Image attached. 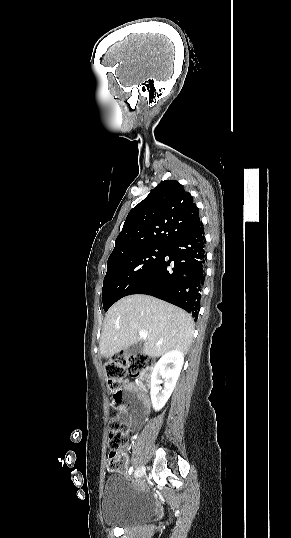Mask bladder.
<instances>
[{
    "label": "bladder",
    "instance_id": "bladder-1",
    "mask_svg": "<svg viewBox=\"0 0 291 538\" xmlns=\"http://www.w3.org/2000/svg\"><path fill=\"white\" fill-rule=\"evenodd\" d=\"M124 474L110 475L102 491V517L107 526L128 528L147 522L154 510L152 499L132 485Z\"/></svg>",
    "mask_w": 291,
    "mask_h": 538
}]
</instances>
